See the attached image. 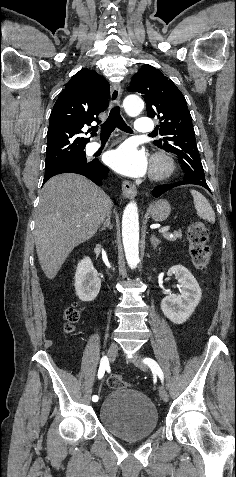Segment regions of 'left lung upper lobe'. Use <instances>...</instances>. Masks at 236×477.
Returning <instances> with one entry per match:
<instances>
[{
  "label": "left lung upper lobe",
  "mask_w": 236,
  "mask_h": 477,
  "mask_svg": "<svg viewBox=\"0 0 236 477\" xmlns=\"http://www.w3.org/2000/svg\"><path fill=\"white\" fill-rule=\"evenodd\" d=\"M130 91L138 92L144 97L149 117L160 119L156 131H159L163 139L153 143L177 155L185 173L184 180L206 183L191 114L181 91L161 71L150 65H144L134 75Z\"/></svg>",
  "instance_id": "left-lung-upper-lobe-1"
}]
</instances>
